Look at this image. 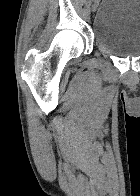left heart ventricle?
<instances>
[{
	"mask_svg": "<svg viewBox=\"0 0 140 196\" xmlns=\"http://www.w3.org/2000/svg\"><path fill=\"white\" fill-rule=\"evenodd\" d=\"M104 192H121V191H104Z\"/></svg>",
	"mask_w": 140,
	"mask_h": 196,
	"instance_id": "obj_1",
	"label": "left heart ventricle"
}]
</instances>
